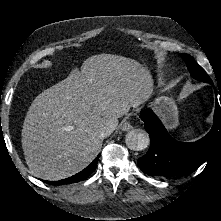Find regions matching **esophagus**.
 Masks as SVG:
<instances>
[{
    "label": "esophagus",
    "mask_w": 221,
    "mask_h": 221,
    "mask_svg": "<svg viewBox=\"0 0 221 221\" xmlns=\"http://www.w3.org/2000/svg\"><path fill=\"white\" fill-rule=\"evenodd\" d=\"M133 126L131 125V123L129 121H125L123 124H122V130L123 131H128L130 129H132Z\"/></svg>",
    "instance_id": "34e87169"
}]
</instances>
